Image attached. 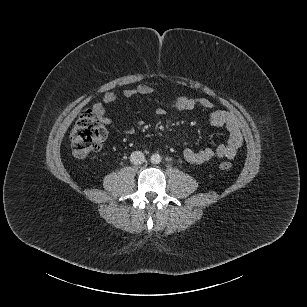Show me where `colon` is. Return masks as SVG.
I'll return each mask as SVG.
<instances>
[{
  "instance_id": "1",
  "label": "colon",
  "mask_w": 307,
  "mask_h": 307,
  "mask_svg": "<svg viewBox=\"0 0 307 307\" xmlns=\"http://www.w3.org/2000/svg\"><path fill=\"white\" fill-rule=\"evenodd\" d=\"M106 135V128L96 117L93 110L84 111L70 134L72 154L76 158H84L91 152L99 150L106 139ZM220 168L230 170L232 164L229 161H223L220 163Z\"/></svg>"
}]
</instances>
